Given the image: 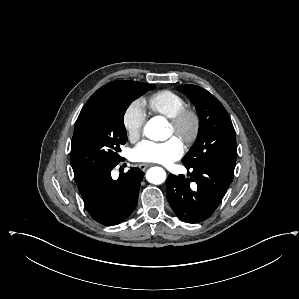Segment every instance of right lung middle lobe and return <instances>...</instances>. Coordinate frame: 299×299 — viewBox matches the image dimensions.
Wrapping results in <instances>:
<instances>
[{
  "mask_svg": "<svg viewBox=\"0 0 299 299\" xmlns=\"http://www.w3.org/2000/svg\"><path fill=\"white\" fill-rule=\"evenodd\" d=\"M154 87L141 83L135 88L112 92L80 112L71 145L76 183L122 160L120 146L127 141L123 122L125 111L132 101Z\"/></svg>",
  "mask_w": 299,
  "mask_h": 299,
  "instance_id": "dd1d6c3e",
  "label": "right lung middle lobe"
}]
</instances>
